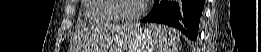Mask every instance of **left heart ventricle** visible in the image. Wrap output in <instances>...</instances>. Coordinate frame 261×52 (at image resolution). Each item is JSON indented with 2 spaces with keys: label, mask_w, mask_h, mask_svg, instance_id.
I'll use <instances>...</instances> for the list:
<instances>
[{
  "label": "left heart ventricle",
  "mask_w": 261,
  "mask_h": 52,
  "mask_svg": "<svg viewBox=\"0 0 261 52\" xmlns=\"http://www.w3.org/2000/svg\"><path fill=\"white\" fill-rule=\"evenodd\" d=\"M141 6V1L121 0L116 2L115 14L117 16L130 17L137 13Z\"/></svg>",
  "instance_id": "obj_1"
}]
</instances>
